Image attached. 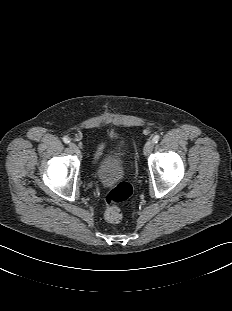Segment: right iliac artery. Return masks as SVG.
I'll return each instance as SVG.
<instances>
[{
	"instance_id": "right-iliac-artery-1",
	"label": "right iliac artery",
	"mask_w": 232,
	"mask_h": 311,
	"mask_svg": "<svg viewBox=\"0 0 232 311\" xmlns=\"http://www.w3.org/2000/svg\"><path fill=\"white\" fill-rule=\"evenodd\" d=\"M63 141L64 143L68 144L70 142V139L68 137H63Z\"/></svg>"
}]
</instances>
